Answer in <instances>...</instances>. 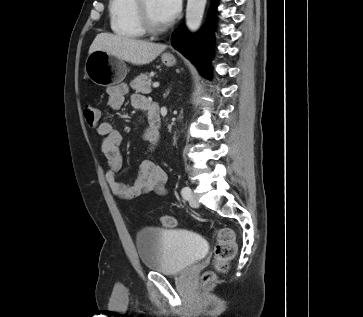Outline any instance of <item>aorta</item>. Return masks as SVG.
<instances>
[{"instance_id":"aorta-1","label":"aorta","mask_w":363,"mask_h":317,"mask_svg":"<svg viewBox=\"0 0 363 317\" xmlns=\"http://www.w3.org/2000/svg\"><path fill=\"white\" fill-rule=\"evenodd\" d=\"M207 0H188L186 7V26L189 31L196 32L202 22Z\"/></svg>"}]
</instances>
